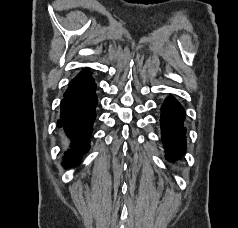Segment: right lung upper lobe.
Returning a JSON list of instances; mask_svg holds the SVG:
<instances>
[{"label": "right lung upper lobe", "mask_w": 238, "mask_h": 228, "mask_svg": "<svg viewBox=\"0 0 238 228\" xmlns=\"http://www.w3.org/2000/svg\"><path fill=\"white\" fill-rule=\"evenodd\" d=\"M89 76H90V74L87 71H83L80 74H78L77 77L74 80L86 78V77H89Z\"/></svg>", "instance_id": "right-lung-upper-lobe-1"}]
</instances>
